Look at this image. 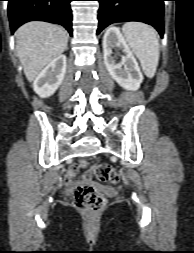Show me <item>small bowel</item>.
<instances>
[{"mask_svg": "<svg viewBox=\"0 0 194 253\" xmlns=\"http://www.w3.org/2000/svg\"><path fill=\"white\" fill-rule=\"evenodd\" d=\"M77 175L76 169L73 168L69 170L65 176V183L68 187H72L74 184V179Z\"/></svg>", "mask_w": 194, "mask_h": 253, "instance_id": "1", "label": "small bowel"}]
</instances>
